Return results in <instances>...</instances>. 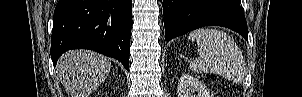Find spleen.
<instances>
[{
    "label": "spleen",
    "mask_w": 302,
    "mask_h": 97,
    "mask_svg": "<svg viewBox=\"0 0 302 97\" xmlns=\"http://www.w3.org/2000/svg\"><path fill=\"white\" fill-rule=\"evenodd\" d=\"M188 40L196 41L198 55L190 61L194 73H215L233 83H242L245 78V60L242 51L225 32L201 28L191 32Z\"/></svg>",
    "instance_id": "1"
}]
</instances>
